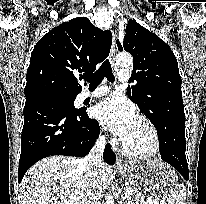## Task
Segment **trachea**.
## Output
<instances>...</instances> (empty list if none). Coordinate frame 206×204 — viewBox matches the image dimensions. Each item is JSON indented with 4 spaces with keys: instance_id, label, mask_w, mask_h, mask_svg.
Returning <instances> with one entry per match:
<instances>
[{
    "instance_id": "1",
    "label": "trachea",
    "mask_w": 206,
    "mask_h": 204,
    "mask_svg": "<svg viewBox=\"0 0 206 204\" xmlns=\"http://www.w3.org/2000/svg\"><path fill=\"white\" fill-rule=\"evenodd\" d=\"M105 77L110 82L115 80L112 67L108 59L102 63L98 71H96L94 74L86 76L84 79L89 82L90 88H96Z\"/></svg>"
}]
</instances>
